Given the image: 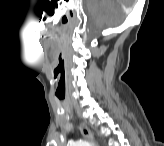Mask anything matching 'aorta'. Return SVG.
<instances>
[{
    "label": "aorta",
    "mask_w": 164,
    "mask_h": 146,
    "mask_svg": "<svg viewBox=\"0 0 164 146\" xmlns=\"http://www.w3.org/2000/svg\"><path fill=\"white\" fill-rule=\"evenodd\" d=\"M90 143H88V142H80V146H88Z\"/></svg>",
    "instance_id": "1"
}]
</instances>
